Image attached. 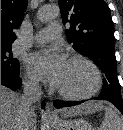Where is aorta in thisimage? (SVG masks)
I'll return each instance as SVG.
<instances>
[{
  "label": "aorta",
  "mask_w": 123,
  "mask_h": 130,
  "mask_svg": "<svg viewBox=\"0 0 123 130\" xmlns=\"http://www.w3.org/2000/svg\"><path fill=\"white\" fill-rule=\"evenodd\" d=\"M60 14L59 7L56 5H48L41 7L37 12V17L41 22H47L57 18Z\"/></svg>",
  "instance_id": "762f6f07"
}]
</instances>
